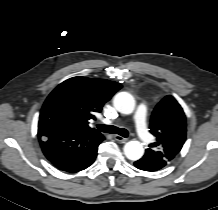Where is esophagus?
<instances>
[{
	"label": "esophagus",
	"instance_id": "1",
	"mask_svg": "<svg viewBox=\"0 0 218 210\" xmlns=\"http://www.w3.org/2000/svg\"><path fill=\"white\" fill-rule=\"evenodd\" d=\"M114 139H115L116 141H118V142H121V143H125V142L128 141V138H124V137H122V136H120V135H114Z\"/></svg>",
	"mask_w": 218,
	"mask_h": 210
}]
</instances>
